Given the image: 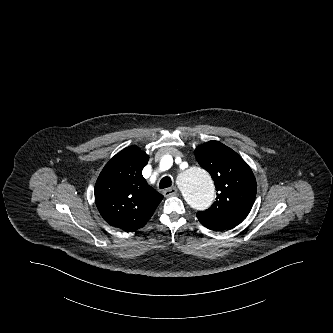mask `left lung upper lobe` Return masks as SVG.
Instances as JSON below:
<instances>
[{"mask_svg": "<svg viewBox=\"0 0 333 333\" xmlns=\"http://www.w3.org/2000/svg\"><path fill=\"white\" fill-rule=\"evenodd\" d=\"M195 157L212 176L217 191L213 205L197 212L198 220L214 231L234 228L247 217L255 201L257 184L251 168L219 141L198 146Z\"/></svg>", "mask_w": 333, "mask_h": 333, "instance_id": "1", "label": "left lung upper lobe"}]
</instances>
